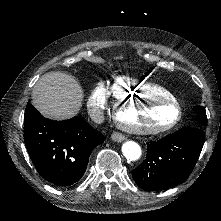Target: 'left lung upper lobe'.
I'll return each mask as SVG.
<instances>
[{"instance_id": "left-lung-upper-lobe-1", "label": "left lung upper lobe", "mask_w": 221, "mask_h": 221, "mask_svg": "<svg viewBox=\"0 0 221 221\" xmlns=\"http://www.w3.org/2000/svg\"><path fill=\"white\" fill-rule=\"evenodd\" d=\"M196 111L198 113L197 120L200 122V124L206 125L207 124V116H206L205 108L198 106V107H196Z\"/></svg>"}]
</instances>
